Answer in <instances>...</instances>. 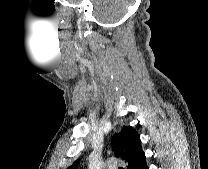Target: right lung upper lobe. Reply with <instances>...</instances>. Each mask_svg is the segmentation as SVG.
Masks as SVG:
<instances>
[{"mask_svg":"<svg viewBox=\"0 0 208 169\" xmlns=\"http://www.w3.org/2000/svg\"><path fill=\"white\" fill-rule=\"evenodd\" d=\"M112 147L117 158H122L128 162V169H136L145 159V153L141 148L140 136L131 126H123L121 132L113 136ZM78 162L76 160L67 169H76Z\"/></svg>","mask_w":208,"mask_h":169,"instance_id":"cb5924a9","label":"right lung upper lobe"}]
</instances>
